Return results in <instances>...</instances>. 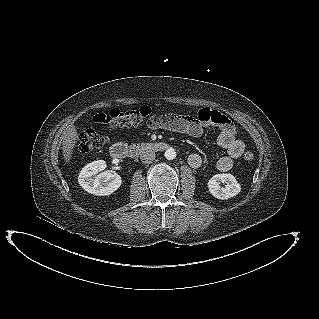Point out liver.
I'll use <instances>...</instances> for the list:
<instances>
[{
	"instance_id": "liver-1",
	"label": "liver",
	"mask_w": 319,
	"mask_h": 319,
	"mask_svg": "<svg viewBox=\"0 0 319 319\" xmlns=\"http://www.w3.org/2000/svg\"><path fill=\"white\" fill-rule=\"evenodd\" d=\"M62 139L64 161L68 164L72 158V152L78 139L76 127L69 125L63 133Z\"/></svg>"
}]
</instances>
